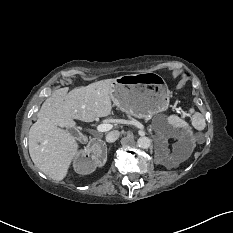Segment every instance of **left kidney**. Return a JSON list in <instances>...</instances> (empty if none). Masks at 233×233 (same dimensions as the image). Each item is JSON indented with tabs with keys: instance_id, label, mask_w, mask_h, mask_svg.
<instances>
[{
	"instance_id": "5707ae66",
	"label": "left kidney",
	"mask_w": 233,
	"mask_h": 233,
	"mask_svg": "<svg viewBox=\"0 0 233 233\" xmlns=\"http://www.w3.org/2000/svg\"><path fill=\"white\" fill-rule=\"evenodd\" d=\"M182 146V140L179 139L177 145H176V149H179L181 148ZM168 148H165V154L166 156H168ZM170 159L173 161V163H179L180 159H182V157H179V156H171Z\"/></svg>"
}]
</instances>
